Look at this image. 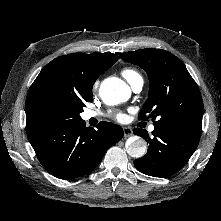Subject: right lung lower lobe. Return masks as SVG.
I'll return each mask as SVG.
<instances>
[{
    "label": "right lung lower lobe",
    "instance_id": "obj_1",
    "mask_svg": "<svg viewBox=\"0 0 221 221\" xmlns=\"http://www.w3.org/2000/svg\"><path fill=\"white\" fill-rule=\"evenodd\" d=\"M97 129L85 122L66 125H41L27 131L40 163L51 175L73 179L95 169L107 149L124 135L121 126L102 121Z\"/></svg>",
    "mask_w": 221,
    "mask_h": 221
}]
</instances>
